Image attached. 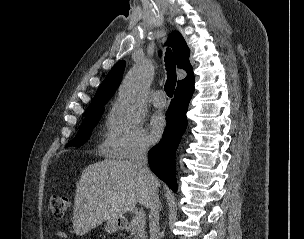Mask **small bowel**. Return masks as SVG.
Here are the masks:
<instances>
[{"instance_id":"obj_1","label":"small bowel","mask_w":304,"mask_h":239,"mask_svg":"<svg viewBox=\"0 0 304 239\" xmlns=\"http://www.w3.org/2000/svg\"><path fill=\"white\" fill-rule=\"evenodd\" d=\"M55 239H65V238H67V235H66V233L65 232H63V231H57L56 233H55Z\"/></svg>"}]
</instances>
